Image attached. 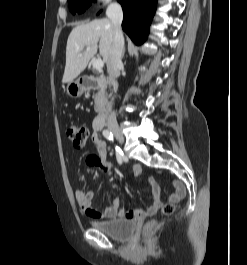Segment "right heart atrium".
I'll return each mask as SVG.
<instances>
[{
    "label": "right heart atrium",
    "mask_w": 247,
    "mask_h": 265,
    "mask_svg": "<svg viewBox=\"0 0 247 265\" xmlns=\"http://www.w3.org/2000/svg\"><path fill=\"white\" fill-rule=\"evenodd\" d=\"M95 2L103 5H110L112 3V0H95Z\"/></svg>",
    "instance_id": "1"
}]
</instances>
